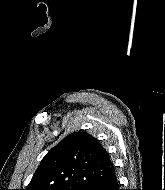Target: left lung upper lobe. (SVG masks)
Returning a JSON list of instances; mask_svg holds the SVG:
<instances>
[{
  "label": "left lung upper lobe",
  "instance_id": "left-lung-upper-lobe-1",
  "mask_svg": "<svg viewBox=\"0 0 165 190\" xmlns=\"http://www.w3.org/2000/svg\"><path fill=\"white\" fill-rule=\"evenodd\" d=\"M113 168L98 140L73 132L44 156L27 190H95Z\"/></svg>",
  "mask_w": 165,
  "mask_h": 190
}]
</instances>
